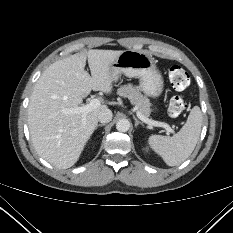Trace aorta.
I'll use <instances>...</instances> for the list:
<instances>
[{
  "label": "aorta",
  "mask_w": 233,
  "mask_h": 233,
  "mask_svg": "<svg viewBox=\"0 0 233 233\" xmlns=\"http://www.w3.org/2000/svg\"><path fill=\"white\" fill-rule=\"evenodd\" d=\"M130 128V122L127 119H120L116 123V129L120 132H126Z\"/></svg>",
  "instance_id": "1"
}]
</instances>
